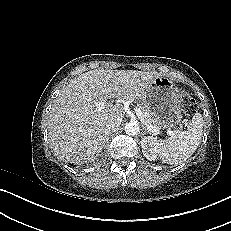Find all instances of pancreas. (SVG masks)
Here are the masks:
<instances>
[{
    "instance_id": "obj_1",
    "label": "pancreas",
    "mask_w": 231,
    "mask_h": 231,
    "mask_svg": "<svg viewBox=\"0 0 231 231\" xmlns=\"http://www.w3.org/2000/svg\"><path fill=\"white\" fill-rule=\"evenodd\" d=\"M141 111L144 114V123L147 125L157 126L159 125V120L156 118H153L149 112L144 108V106H141Z\"/></svg>"
}]
</instances>
